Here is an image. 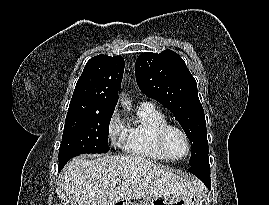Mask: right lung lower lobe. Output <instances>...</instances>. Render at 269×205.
Returning <instances> with one entry per match:
<instances>
[{"label": "right lung lower lobe", "mask_w": 269, "mask_h": 205, "mask_svg": "<svg viewBox=\"0 0 269 205\" xmlns=\"http://www.w3.org/2000/svg\"><path fill=\"white\" fill-rule=\"evenodd\" d=\"M78 156L77 153H68L64 155L61 159H59V165H58V170L60 171L64 165L73 157Z\"/></svg>", "instance_id": "right-lung-lower-lobe-1"}]
</instances>
